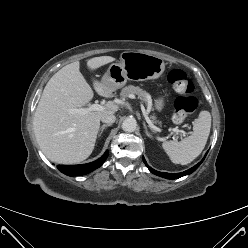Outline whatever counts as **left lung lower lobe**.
I'll list each match as a JSON object with an SVG mask.
<instances>
[{"instance_id":"obj_1","label":"left lung lower lobe","mask_w":248,"mask_h":248,"mask_svg":"<svg viewBox=\"0 0 248 248\" xmlns=\"http://www.w3.org/2000/svg\"><path fill=\"white\" fill-rule=\"evenodd\" d=\"M207 155V153H206ZM206 155L204 156V158L198 163L196 164L194 167L184 171V172H181V173H165V172H159V171H156L154 170L153 168H151L150 166H148V164L146 163L144 157H143V162L145 163V165L148 167V169L150 170V172H152L153 174L157 175V176H160V177H164V178H167V179H177V178H180L182 176H185V175H189L191 174L192 172H194L199 166L200 164L203 162V160L205 159Z\"/></svg>"}]
</instances>
